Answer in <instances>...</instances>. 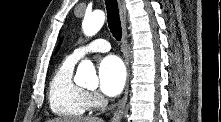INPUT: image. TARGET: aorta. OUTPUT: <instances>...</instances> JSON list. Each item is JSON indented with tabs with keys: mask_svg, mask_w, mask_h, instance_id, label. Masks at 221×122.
<instances>
[{
	"mask_svg": "<svg viewBox=\"0 0 221 122\" xmlns=\"http://www.w3.org/2000/svg\"><path fill=\"white\" fill-rule=\"evenodd\" d=\"M104 21L105 15L101 10H96L91 14L86 15L82 23L84 34L86 36L95 35L103 26ZM75 82L86 87H90L98 83L95 67L90 60H83L78 65Z\"/></svg>",
	"mask_w": 221,
	"mask_h": 122,
	"instance_id": "obj_1",
	"label": "aorta"
}]
</instances>
